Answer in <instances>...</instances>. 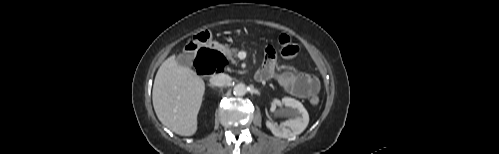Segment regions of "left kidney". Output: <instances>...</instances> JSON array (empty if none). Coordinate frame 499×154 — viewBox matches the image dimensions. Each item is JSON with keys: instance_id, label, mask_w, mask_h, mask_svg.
Here are the masks:
<instances>
[{"instance_id": "left-kidney-1", "label": "left kidney", "mask_w": 499, "mask_h": 154, "mask_svg": "<svg viewBox=\"0 0 499 154\" xmlns=\"http://www.w3.org/2000/svg\"><path fill=\"white\" fill-rule=\"evenodd\" d=\"M282 103L291 109L294 118L276 126L271 120L266 121V126L273 135L281 138H290L301 134L309 123V114L303 104L296 99L284 97Z\"/></svg>"}]
</instances>
